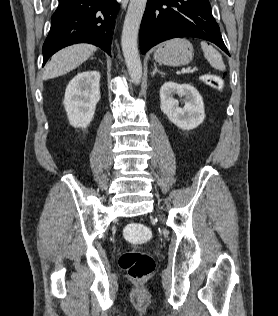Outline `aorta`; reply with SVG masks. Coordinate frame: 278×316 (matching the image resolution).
Wrapping results in <instances>:
<instances>
[{"instance_id": "1", "label": "aorta", "mask_w": 278, "mask_h": 316, "mask_svg": "<svg viewBox=\"0 0 278 316\" xmlns=\"http://www.w3.org/2000/svg\"><path fill=\"white\" fill-rule=\"evenodd\" d=\"M147 0H130L125 16L121 45L131 81L138 85L142 79V64L137 47L138 32Z\"/></svg>"}]
</instances>
